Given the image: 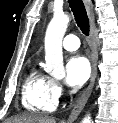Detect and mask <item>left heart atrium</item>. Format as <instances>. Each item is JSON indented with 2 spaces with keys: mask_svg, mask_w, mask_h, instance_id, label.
I'll list each match as a JSON object with an SVG mask.
<instances>
[{
  "mask_svg": "<svg viewBox=\"0 0 118 123\" xmlns=\"http://www.w3.org/2000/svg\"><path fill=\"white\" fill-rule=\"evenodd\" d=\"M89 61L81 55L72 56L66 63L65 83L72 88L83 86L90 76Z\"/></svg>",
  "mask_w": 118,
  "mask_h": 123,
  "instance_id": "obj_1",
  "label": "left heart atrium"
}]
</instances>
